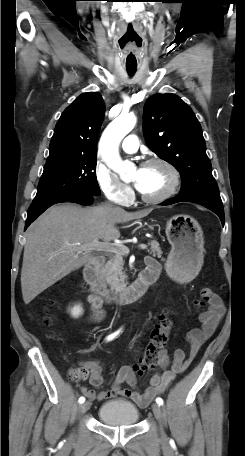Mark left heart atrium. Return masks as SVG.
<instances>
[{"instance_id":"1","label":"left heart atrium","mask_w":245,"mask_h":456,"mask_svg":"<svg viewBox=\"0 0 245 456\" xmlns=\"http://www.w3.org/2000/svg\"><path fill=\"white\" fill-rule=\"evenodd\" d=\"M135 184H136V187L138 188V183H137V182H135Z\"/></svg>"}]
</instances>
